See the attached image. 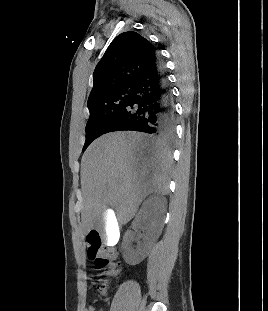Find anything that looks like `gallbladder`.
<instances>
[{
  "label": "gallbladder",
  "mask_w": 268,
  "mask_h": 311,
  "mask_svg": "<svg viewBox=\"0 0 268 311\" xmlns=\"http://www.w3.org/2000/svg\"><path fill=\"white\" fill-rule=\"evenodd\" d=\"M115 216L113 207H110V209H103L101 219H98V229L101 239H103V246H116L117 240L121 237Z\"/></svg>",
  "instance_id": "bac80fb5"
}]
</instances>
